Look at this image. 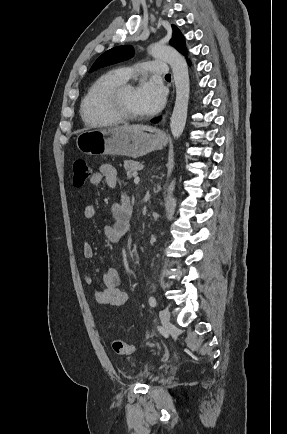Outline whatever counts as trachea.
<instances>
[{
  "label": "trachea",
  "mask_w": 287,
  "mask_h": 434,
  "mask_svg": "<svg viewBox=\"0 0 287 434\" xmlns=\"http://www.w3.org/2000/svg\"><path fill=\"white\" fill-rule=\"evenodd\" d=\"M165 78H171V75H170V74H167V75L165 76Z\"/></svg>",
  "instance_id": "3493384b"
}]
</instances>
